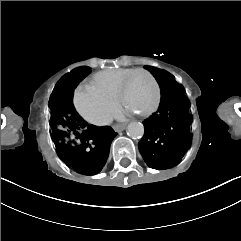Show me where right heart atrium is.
Wrapping results in <instances>:
<instances>
[{"label":"right heart atrium","mask_w":241,"mask_h":241,"mask_svg":"<svg viewBox=\"0 0 241 241\" xmlns=\"http://www.w3.org/2000/svg\"><path fill=\"white\" fill-rule=\"evenodd\" d=\"M85 86V87H84ZM109 93H104L94 85H80L73 94V103L79 113L90 123L95 125L108 124L115 113L113 99Z\"/></svg>","instance_id":"obj_1"}]
</instances>
